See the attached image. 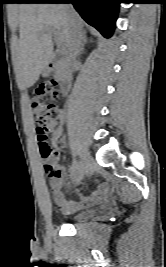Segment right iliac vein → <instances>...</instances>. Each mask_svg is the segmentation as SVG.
<instances>
[{
    "label": "right iliac vein",
    "mask_w": 166,
    "mask_h": 267,
    "mask_svg": "<svg viewBox=\"0 0 166 267\" xmlns=\"http://www.w3.org/2000/svg\"><path fill=\"white\" fill-rule=\"evenodd\" d=\"M93 160L86 150L80 152V170L77 182H80L84 176L88 175L92 170Z\"/></svg>",
    "instance_id": "63e3f726"
}]
</instances>
